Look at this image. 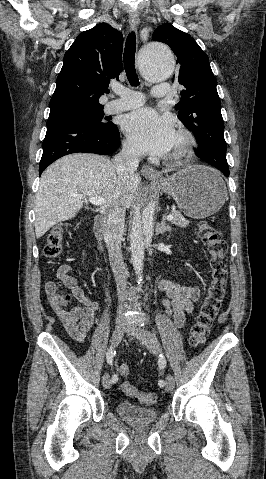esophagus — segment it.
Returning a JSON list of instances; mask_svg holds the SVG:
<instances>
[{
    "label": "esophagus",
    "instance_id": "1",
    "mask_svg": "<svg viewBox=\"0 0 266 479\" xmlns=\"http://www.w3.org/2000/svg\"><path fill=\"white\" fill-rule=\"evenodd\" d=\"M129 24H130V28L132 30H134L138 26L139 15H138L137 11H130V13H129ZM141 172L145 177H148V178H153V179H161L162 178V176L158 172H156L153 167H151L149 165H143Z\"/></svg>",
    "mask_w": 266,
    "mask_h": 479
}]
</instances>
